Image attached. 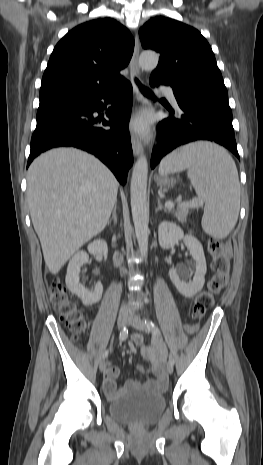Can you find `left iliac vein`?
Instances as JSON below:
<instances>
[{
    "instance_id": "1",
    "label": "left iliac vein",
    "mask_w": 263,
    "mask_h": 465,
    "mask_svg": "<svg viewBox=\"0 0 263 465\" xmlns=\"http://www.w3.org/2000/svg\"><path fill=\"white\" fill-rule=\"evenodd\" d=\"M128 323L131 326H133L134 328L138 329V330H141V331H146L147 330V326H146L145 322L140 317H138L134 312L130 313V315L128 317ZM166 369H167V372L169 374H172L173 370H174L173 364L168 362L167 366H166Z\"/></svg>"
}]
</instances>
